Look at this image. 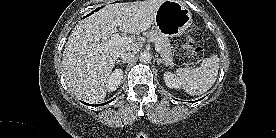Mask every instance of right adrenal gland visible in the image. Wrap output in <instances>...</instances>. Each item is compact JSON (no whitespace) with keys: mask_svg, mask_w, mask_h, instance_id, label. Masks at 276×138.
<instances>
[{"mask_svg":"<svg viewBox=\"0 0 276 138\" xmlns=\"http://www.w3.org/2000/svg\"><path fill=\"white\" fill-rule=\"evenodd\" d=\"M129 61H124V60H116V63L118 64V63H123V64H125V63H128Z\"/></svg>","mask_w":276,"mask_h":138,"instance_id":"right-adrenal-gland-1","label":"right adrenal gland"}]
</instances>
